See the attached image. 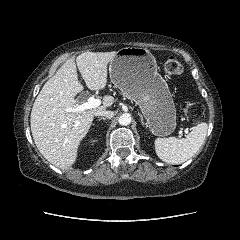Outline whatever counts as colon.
Returning <instances> with one entry per match:
<instances>
[{
    "label": "colon",
    "mask_w": 240,
    "mask_h": 240,
    "mask_svg": "<svg viewBox=\"0 0 240 240\" xmlns=\"http://www.w3.org/2000/svg\"><path fill=\"white\" fill-rule=\"evenodd\" d=\"M163 72L168 77H177L183 73V66L176 57H168L163 63ZM182 112L191 123L199 122L204 116V106L200 102L189 101L182 105Z\"/></svg>",
    "instance_id": "colon-1"
}]
</instances>
